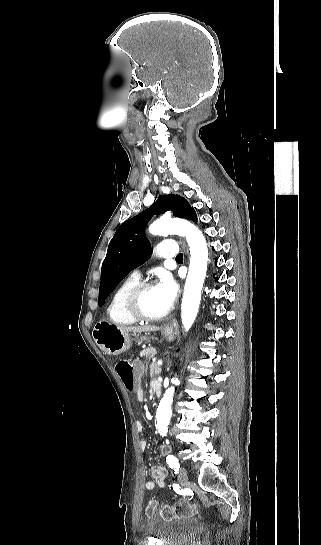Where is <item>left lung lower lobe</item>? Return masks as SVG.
<instances>
[{"mask_svg":"<svg viewBox=\"0 0 321 545\" xmlns=\"http://www.w3.org/2000/svg\"><path fill=\"white\" fill-rule=\"evenodd\" d=\"M191 220H193L194 222L197 221L196 213H195L194 216L191 218Z\"/></svg>","mask_w":321,"mask_h":545,"instance_id":"1","label":"left lung lower lobe"}]
</instances>
